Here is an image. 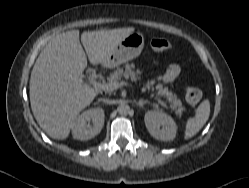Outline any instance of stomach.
Instances as JSON below:
<instances>
[{
	"label": "stomach",
	"mask_w": 249,
	"mask_h": 188,
	"mask_svg": "<svg viewBox=\"0 0 249 188\" xmlns=\"http://www.w3.org/2000/svg\"><path fill=\"white\" fill-rule=\"evenodd\" d=\"M144 47V37L141 33H131L122 39L115 48L108 53L101 63L106 68H115L140 55Z\"/></svg>",
	"instance_id": "obj_1"
}]
</instances>
